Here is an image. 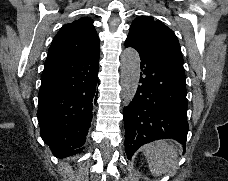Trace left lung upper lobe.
I'll use <instances>...</instances> for the list:
<instances>
[{"mask_svg": "<svg viewBox=\"0 0 228 181\" xmlns=\"http://www.w3.org/2000/svg\"><path fill=\"white\" fill-rule=\"evenodd\" d=\"M126 41L142 50L183 62L180 45L174 32L151 16L134 19Z\"/></svg>", "mask_w": 228, "mask_h": 181, "instance_id": "left-lung-upper-lobe-1", "label": "left lung upper lobe"}]
</instances>
